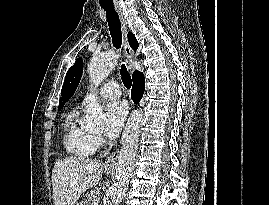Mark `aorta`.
Returning a JSON list of instances; mask_svg holds the SVG:
<instances>
[{
	"mask_svg": "<svg viewBox=\"0 0 269 205\" xmlns=\"http://www.w3.org/2000/svg\"><path fill=\"white\" fill-rule=\"evenodd\" d=\"M118 55L109 51L94 55L88 65V73L91 82L100 84L114 69ZM85 124L87 128L100 126L104 120L101 106L94 97H87L84 101ZM143 121L141 110L134 111L128 118L123 136L119 161L116 168L115 180L110 189L111 205H119L129 185L130 176L134 169L135 157L138 149L139 130Z\"/></svg>",
	"mask_w": 269,
	"mask_h": 205,
	"instance_id": "1",
	"label": "aorta"
}]
</instances>
